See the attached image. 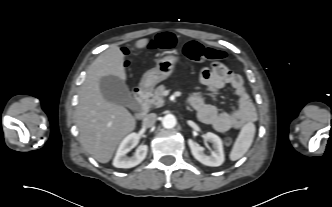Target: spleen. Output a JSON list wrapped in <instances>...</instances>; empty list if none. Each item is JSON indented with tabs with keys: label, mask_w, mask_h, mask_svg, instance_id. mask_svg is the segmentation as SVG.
<instances>
[{
	"label": "spleen",
	"mask_w": 332,
	"mask_h": 207,
	"mask_svg": "<svg viewBox=\"0 0 332 207\" xmlns=\"http://www.w3.org/2000/svg\"><path fill=\"white\" fill-rule=\"evenodd\" d=\"M255 131L256 128L252 122H249L243 126L230 153V159L232 161L240 159L248 151L252 145Z\"/></svg>",
	"instance_id": "1"
}]
</instances>
